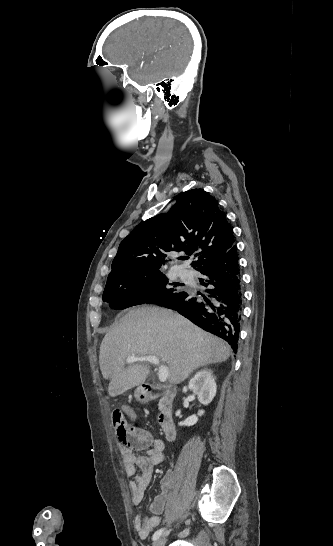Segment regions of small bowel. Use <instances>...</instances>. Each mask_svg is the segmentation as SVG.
<instances>
[{"label":"small bowel","instance_id":"obj_1","mask_svg":"<svg viewBox=\"0 0 333 546\" xmlns=\"http://www.w3.org/2000/svg\"><path fill=\"white\" fill-rule=\"evenodd\" d=\"M122 405L120 408L122 412L131 422H134L136 419L134 411L125 402ZM130 439L131 444L120 445L119 450L125 473L132 478L130 481L132 502L134 505H140L144 501L155 467L163 460L165 444L161 439L154 438L149 432L134 427L130 433ZM140 450H144L146 454L144 456H137L134 453V451ZM138 470L140 471L139 474H137ZM170 497V483L167 479H164L162 481L161 493L156 496L150 506L153 516L144 517L138 515L135 520V528L141 537L147 536L160 525V514L163 512Z\"/></svg>","mask_w":333,"mask_h":546}]
</instances>
